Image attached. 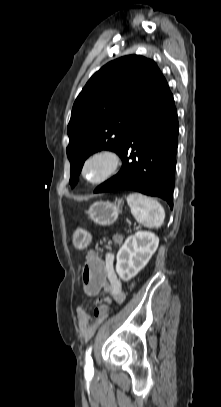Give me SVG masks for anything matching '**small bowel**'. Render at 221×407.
<instances>
[{"label":"small bowel","mask_w":221,"mask_h":407,"mask_svg":"<svg viewBox=\"0 0 221 407\" xmlns=\"http://www.w3.org/2000/svg\"><path fill=\"white\" fill-rule=\"evenodd\" d=\"M105 265L107 266V274H108V284L104 286V292L108 295V297L103 302L101 297H96L94 299V304L96 306H101L102 304L110 305L112 301L122 302L124 300V292L122 288V282L118 277L115 268H114V255L111 252L106 253L105 257ZM84 271V270H83ZM99 292H85L87 296L92 294V296H96ZM108 315V314H107ZM77 319H78V328L82 335V337L87 340L89 339L94 332L96 331L97 327L100 325L103 319L105 318H98L97 315H90L83 307H79L77 309Z\"/></svg>","instance_id":"small-bowel-1"}]
</instances>
